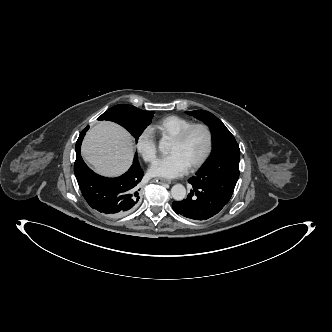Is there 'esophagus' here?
Instances as JSON below:
<instances>
[{
  "label": "esophagus",
  "mask_w": 332,
  "mask_h": 332,
  "mask_svg": "<svg viewBox=\"0 0 332 332\" xmlns=\"http://www.w3.org/2000/svg\"><path fill=\"white\" fill-rule=\"evenodd\" d=\"M155 182L159 183V184H170L171 181L170 180H167V179H164V178H155L154 179Z\"/></svg>",
  "instance_id": "esophagus-1"
}]
</instances>
